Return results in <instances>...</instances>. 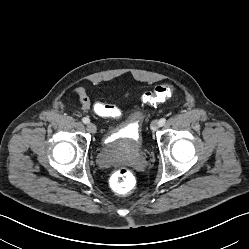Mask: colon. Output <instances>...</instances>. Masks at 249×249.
<instances>
[{
	"mask_svg": "<svg viewBox=\"0 0 249 249\" xmlns=\"http://www.w3.org/2000/svg\"><path fill=\"white\" fill-rule=\"evenodd\" d=\"M176 90L175 85L165 83L156 86L151 91L142 93L140 98L143 104L154 106L171 97ZM110 183L114 192L125 195L134 187L135 177L129 168L121 167L113 173Z\"/></svg>",
	"mask_w": 249,
	"mask_h": 249,
	"instance_id": "colon-1",
	"label": "colon"
}]
</instances>
